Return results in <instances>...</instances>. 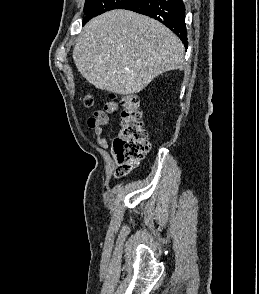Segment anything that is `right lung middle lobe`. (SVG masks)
Segmentation results:
<instances>
[{
    "label": "right lung middle lobe",
    "mask_w": 259,
    "mask_h": 294,
    "mask_svg": "<svg viewBox=\"0 0 259 294\" xmlns=\"http://www.w3.org/2000/svg\"><path fill=\"white\" fill-rule=\"evenodd\" d=\"M132 0H86L84 14L86 17L83 22H88L91 18L100 15L106 11L119 9L124 4Z\"/></svg>",
    "instance_id": "1"
}]
</instances>
